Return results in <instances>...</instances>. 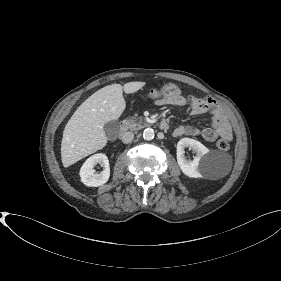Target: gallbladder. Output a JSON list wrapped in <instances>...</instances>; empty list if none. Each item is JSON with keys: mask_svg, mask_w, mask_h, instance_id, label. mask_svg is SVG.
Instances as JSON below:
<instances>
[{"mask_svg": "<svg viewBox=\"0 0 281 281\" xmlns=\"http://www.w3.org/2000/svg\"><path fill=\"white\" fill-rule=\"evenodd\" d=\"M119 124L117 121H109L104 125V131L108 138L115 137L118 133Z\"/></svg>", "mask_w": 281, "mask_h": 281, "instance_id": "bac80fb5", "label": "gallbladder"}]
</instances>
